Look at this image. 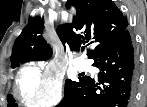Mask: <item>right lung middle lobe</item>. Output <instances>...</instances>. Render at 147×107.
Returning <instances> with one entry per match:
<instances>
[{
	"label": "right lung middle lobe",
	"mask_w": 147,
	"mask_h": 107,
	"mask_svg": "<svg viewBox=\"0 0 147 107\" xmlns=\"http://www.w3.org/2000/svg\"><path fill=\"white\" fill-rule=\"evenodd\" d=\"M35 59H30L28 61H34ZM27 61V62H28ZM25 63V62H24ZM17 65H13L12 67H16ZM81 79H79L80 81ZM79 81H72L70 79H67L65 82V90H64V95L68 94L69 92L73 91L75 89V87L77 86ZM15 100L11 95H8V106H14L17 107V105L14 103Z\"/></svg>",
	"instance_id": "obj_1"
}]
</instances>
